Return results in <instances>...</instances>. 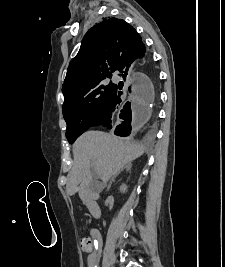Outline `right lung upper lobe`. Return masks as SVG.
Returning <instances> with one entry per match:
<instances>
[{
    "label": "right lung upper lobe",
    "instance_id": "right-lung-upper-lobe-1",
    "mask_svg": "<svg viewBox=\"0 0 225 267\" xmlns=\"http://www.w3.org/2000/svg\"><path fill=\"white\" fill-rule=\"evenodd\" d=\"M141 42L136 30L122 19H104L90 28L69 64L62 86L64 97L88 83L112 76L126 53Z\"/></svg>",
    "mask_w": 225,
    "mask_h": 267
}]
</instances>
